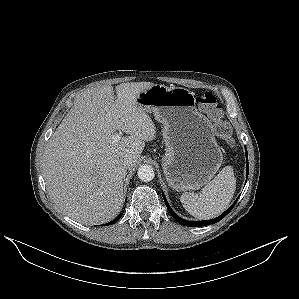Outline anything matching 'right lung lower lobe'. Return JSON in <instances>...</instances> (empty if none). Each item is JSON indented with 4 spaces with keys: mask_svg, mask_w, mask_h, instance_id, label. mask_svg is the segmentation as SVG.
<instances>
[{
    "mask_svg": "<svg viewBox=\"0 0 299 299\" xmlns=\"http://www.w3.org/2000/svg\"><path fill=\"white\" fill-rule=\"evenodd\" d=\"M122 216V214H120L117 218H115L113 221H111V222H109V223H107V224H105V225H110V224H114L115 222H117L119 219H120V217Z\"/></svg>",
    "mask_w": 299,
    "mask_h": 299,
    "instance_id": "obj_1",
    "label": "right lung lower lobe"
}]
</instances>
